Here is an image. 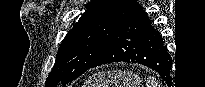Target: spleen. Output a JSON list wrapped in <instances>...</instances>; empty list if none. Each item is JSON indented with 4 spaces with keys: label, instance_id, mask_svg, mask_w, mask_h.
<instances>
[{
    "label": "spleen",
    "instance_id": "3e777b00",
    "mask_svg": "<svg viewBox=\"0 0 205 87\" xmlns=\"http://www.w3.org/2000/svg\"><path fill=\"white\" fill-rule=\"evenodd\" d=\"M147 87H161L160 83L154 77H148L146 81Z\"/></svg>",
    "mask_w": 205,
    "mask_h": 87
}]
</instances>
